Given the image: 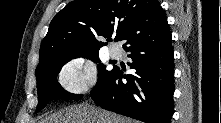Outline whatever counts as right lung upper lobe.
<instances>
[{
  "instance_id": "right-lung-upper-lobe-1",
  "label": "right lung upper lobe",
  "mask_w": 221,
  "mask_h": 123,
  "mask_svg": "<svg viewBox=\"0 0 221 123\" xmlns=\"http://www.w3.org/2000/svg\"><path fill=\"white\" fill-rule=\"evenodd\" d=\"M171 34L157 0H81L67 4L51 21L40 46L41 67L57 59L99 51L107 41L126 40L124 49Z\"/></svg>"
}]
</instances>
